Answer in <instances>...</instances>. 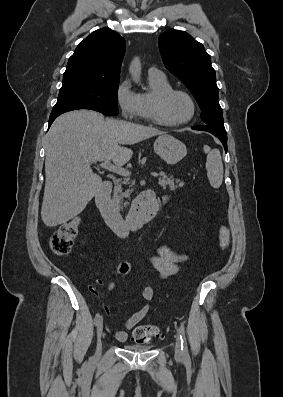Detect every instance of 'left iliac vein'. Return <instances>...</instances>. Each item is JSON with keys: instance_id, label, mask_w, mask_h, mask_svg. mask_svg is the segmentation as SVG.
<instances>
[{"instance_id": "1", "label": "left iliac vein", "mask_w": 283, "mask_h": 397, "mask_svg": "<svg viewBox=\"0 0 283 397\" xmlns=\"http://www.w3.org/2000/svg\"><path fill=\"white\" fill-rule=\"evenodd\" d=\"M175 357L176 358H181L182 357V350L180 347V341L177 338L176 343H175Z\"/></svg>"}]
</instances>
